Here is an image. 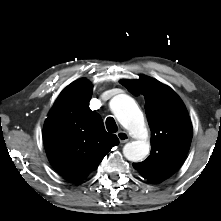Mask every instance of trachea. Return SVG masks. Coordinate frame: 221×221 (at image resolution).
I'll return each instance as SVG.
<instances>
[{"label":"trachea","instance_id":"trachea-1","mask_svg":"<svg viewBox=\"0 0 221 221\" xmlns=\"http://www.w3.org/2000/svg\"><path fill=\"white\" fill-rule=\"evenodd\" d=\"M106 128L111 133H115V132L118 131L117 124H116V122H115L113 117H108L106 119Z\"/></svg>","mask_w":221,"mask_h":221}]
</instances>
